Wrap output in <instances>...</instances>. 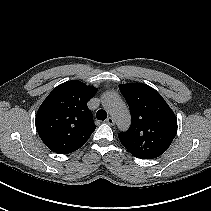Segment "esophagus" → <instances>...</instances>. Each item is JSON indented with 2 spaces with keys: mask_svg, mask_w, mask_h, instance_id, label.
Wrapping results in <instances>:
<instances>
[{
  "mask_svg": "<svg viewBox=\"0 0 211 211\" xmlns=\"http://www.w3.org/2000/svg\"><path fill=\"white\" fill-rule=\"evenodd\" d=\"M106 123L109 125H114L115 124V120L112 117L107 118Z\"/></svg>",
  "mask_w": 211,
  "mask_h": 211,
  "instance_id": "obj_1",
  "label": "esophagus"
}]
</instances>
